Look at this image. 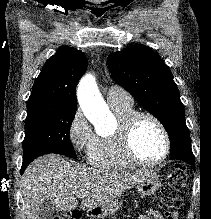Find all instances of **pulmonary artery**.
Instances as JSON below:
<instances>
[{
  "instance_id": "obj_1",
  "label": "pulmonary artery",
  "mask_w": 211,
  "mask_h": 219,
  "mask_svg": "<svg viewBox=\"0 0 211 219\" xmlns=\"http://www.w3.org/2000/svg\"><path fill=\"white\" fill-rule=\"evenodd\" d=\"M106 100L109 105H129L133 104L132 97L122 88L111 86L106 93Z\"/></svg>"
}]
</instances>
